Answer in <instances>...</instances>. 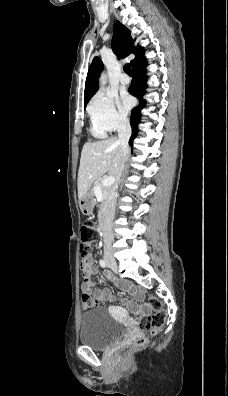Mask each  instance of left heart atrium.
Segmentation results:
<instances>
[{
  "instance_id": "obj_1",
  "label": "left heart atrium",
  "mask_w": 228,
  "mask_h": 396,
  "mask_svg": "<svg viewBox=\"0 0 228 396\" xmlns=\"http://www.w3.org/2000/svg\"><path fill=\"white\" fill-rule=\"evenodd\" d=\"M118 104H119V108L121 109V111L126 113L132 107L133 100H132L131 96H129L126 93H123L119 99Z\"/></svg>"
}]
</instances>
